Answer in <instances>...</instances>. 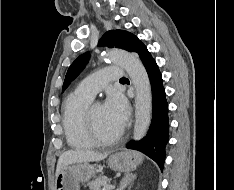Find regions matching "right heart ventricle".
I'll list each match as a JSON object with an SVG mask.
<instances>
[{"mask_svg": "<svg viewBox=\"0 0 234 190\" xmlns=\"http://www.w3.org/2000/svg\"><path fill=\"white\" fill-rule=\"evenodd\" d=\"M92 99L74 91L64 100L62 124L67 143L75 149H89L96 145L88 133L84 116Z\"/></svg>", "mask_w": 234, "mask_h": 190, "instance_id": "1", "label": "right heart ventricle"}]
</instances>
